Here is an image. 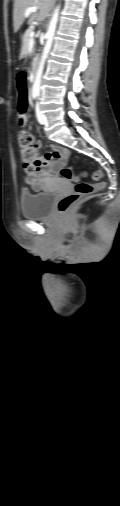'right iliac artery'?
Here are the masks:
<instances>
[{
    "instance_id": "82829eb1",
    "label": "right iliac artery",
    "mask_w": 120,
    "mask_h": 506,
    "mask_svg": "<svg viewBox=\"0 0 120 506\" xmlns=\"http://www.w3.org/2000/svg\"><path fill=\"white\" fill-rule=\"evenodd\" d=\"M36 96H37L36 94H33V95H32V97H33L34 99L36 98Z\"/></svg>"
}]
</instances>
